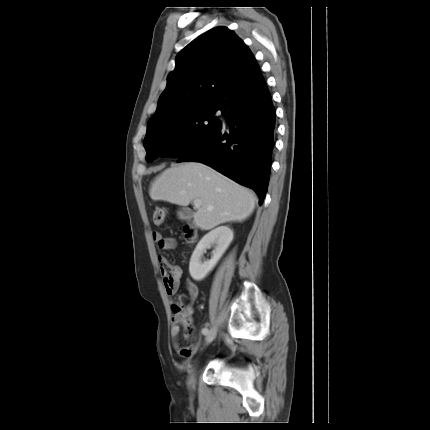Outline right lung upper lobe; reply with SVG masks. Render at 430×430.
<instances>
[{"label":"right lung upper lobe","instance_id":"obj_1","mask_svg":"<svg viewBox=\"0 0 430 430\" xmlns=\"http://www.w3.org/2000/svg\"><path fill=\"white\" fill-rule=\"evenodd\" d=\"M261 79L248 46L232 30L213 28L178 53L147 127L193 108L223 106L236 92Z\"/></svg>","mask_w":430,"mask_h":430}]
</instances>
